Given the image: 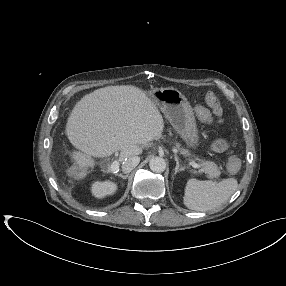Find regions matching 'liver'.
Listing matches in <instances>:
<instances>
[{"instance_id": "6515ba94", "label": "liver", "mask_w": 286, "mask_h": 286, "mask_svg": "<svg viewBox=\"0 0 286 286\" xmlns=\"http://www.w3.org/2000/svg\"><path fill=\"white\" fill-rule=\"evenodd\" d=\"M164 129L156 102L133 85L107 86L86 94L68 117L65 133L79 151L70 156L81 171L94 168L93 157L120 152L119 161L140 155L141 144Z\"/></svg>"}]
</instances>
